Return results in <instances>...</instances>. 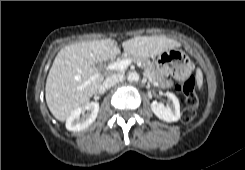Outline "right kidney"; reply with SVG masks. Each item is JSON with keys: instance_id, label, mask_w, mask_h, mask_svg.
<instances>
[{"instance_id": "1", "label": "right kidney", "mask_w": 245, "mask_h": 170, "mask_svg": "<svg viewBox=\"0 0 245 170\" xmlns=\"http://www.w3.org/2000/svg\"><path fill=\"white\" fill-rule=\"evenodd\" d=\"M98 112V102H87L86 104L79 106L71 113V115L66 120L67 130L81 131L86 129L95 121Z\"/></svg>"}]
</instances>
